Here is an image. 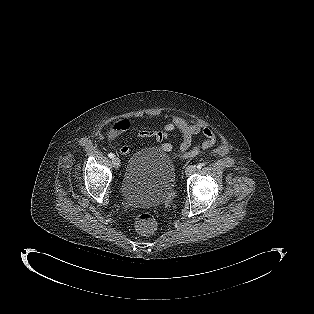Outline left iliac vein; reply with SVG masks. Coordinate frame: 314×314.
<instances>
[{
  "instance_id": "obj_1",
  "label": "left iliac vein",
  "mask_w": 314,
  "mask_h": 314,
  "mask_svg": "<svg viewBox=\"0 0 314 314\" xmlns=\"http://www.w3.org/2000/svg\"><path fill=\"white\" fill-rule=\"evenodd\" d=\"M196 171V167L194 165L187 166L185 173L187 176L193 174Z\"/></svg>"
}]
</instances>
